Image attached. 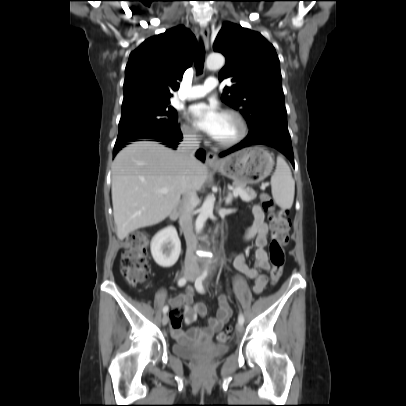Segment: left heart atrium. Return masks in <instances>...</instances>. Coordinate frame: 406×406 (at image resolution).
I'll return each instance as SVG.
<instances>
[{
  "label": "left heart atrium",
  "mask_w": 406,
  "mask_h": 406,
  "mask_svg": "<svg viewBox=\"0 0 406 406\" xmlns=\"http://www.w3.org/2000/svg\"><path fill=\"white\" fill-rule=\"evenodd\" d=\"M193 124L213 138L221 123L222 112L214 104L197 103L190 107Z\"/></svg>",
  "instance_id": "obj_1"
}]
</instances>
